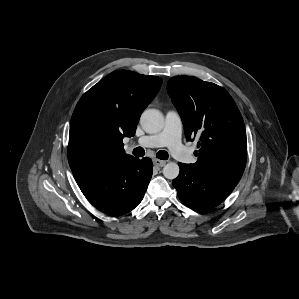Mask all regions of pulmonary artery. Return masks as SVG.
<instances>
[{"mask_svg": "<svg viewBox=\"0 0 299 299\" xmlns=\"http://www.w3.org/2000/svg\"><path fill=\"white\" fill-rule=\"evenodd\" d=\"M182 121L176 110H168L165 115V125L161 132L147 135L138 139L137 144L142 147L169 148L175 158L191 163L194 160L192 154L181 143Z\"/></svg>", "mask_w": 299, "mask_h": 299, "instance_id": "pulmonary-artery-1", "label": "pulmonary artery"}]
</instances>
